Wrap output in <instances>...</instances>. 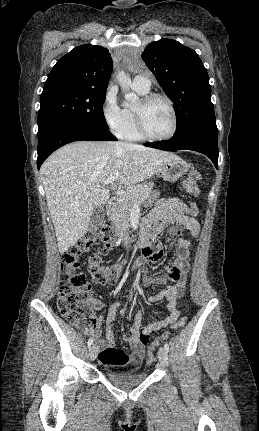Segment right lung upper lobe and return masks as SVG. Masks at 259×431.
I'll return each instance as SVG.
<instances>
[{"mask_svg":"<svg viewBox=\"0 0 259 431\" xmlns=\"http://www.w3.org/2000/svg\"><path fill=\"white\" fill-rule=\"evenodd\" d=\"M112 59L102 46L85 44L72 49L57 61L48 75L43 92L55 87L106 91Z\"/></svg>","mask_w":259,"mask_h":431,"instance_id":"cb5924a9","label":"right lung upper lobe"}]
</instances>
